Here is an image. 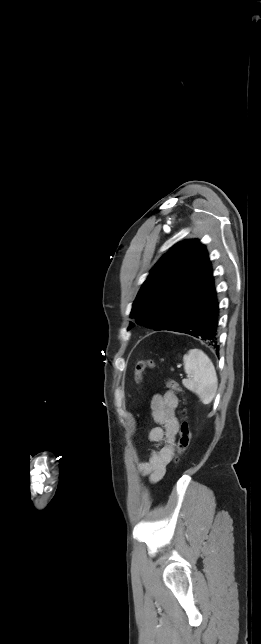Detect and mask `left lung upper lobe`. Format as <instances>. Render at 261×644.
I'll use <instances>...</instances> for the list:
<instances>
[{
	"label": "left lung upper lobe",
	"mask_w": 261,
	"mask_h": 644,
	"mask_svg": "<svg viewBox=\"0 0 261 644\" xmlns=\"http://www.w3.org/2000/svg\"><path fill=\"white\" fill-rule=\"evenodd\" d=\"M215 286L211 262L199 240H187L164 255L150 271L131 311L137 323L156 331L180 322ZM134 326L131 323L130 327Z\"/></svg>",
	"instance_id": "1"
}]
</instances>
